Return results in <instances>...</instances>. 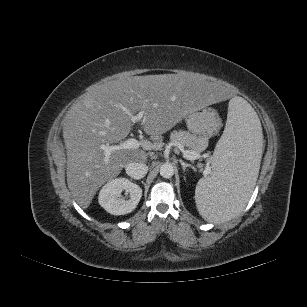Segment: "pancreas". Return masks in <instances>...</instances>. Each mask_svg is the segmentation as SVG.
Masks as SVG:
<instances>
[{"instance_id":"pancreas-1","label":"pancreas","mask_w":307,"mask_h":307,"mask_svg":"<svg viewBox=\"0 0 307 307\" xmlns=\"http://www.w3.org/2000/svg\"><path fill=\"white\" fill-rule=\"evenodd\" d=\"M170 140L196 152H201L206 147V139L203 136H197L183 130L171 132Z\"/></svg>"}]
</instances>
